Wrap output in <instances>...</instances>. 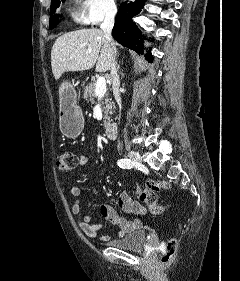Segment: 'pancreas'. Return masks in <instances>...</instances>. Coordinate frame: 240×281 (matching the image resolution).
Instances as JSON below:
<instances>
[{
  "label": "pancreas",
  "mask_w": 240,
  "mask_h": 281,
  "mask_svg": "<svg viewBox=\"0 0 240 281\" xmlns=\"http://www.w3.org/2000/svg\"><path fill=\"white\" fill-rule=\"evenodd\" d=\"M95 83H90L87 85L84 90H83V96L86 100L90 101L91 104L96 103V100L99 99L98 96L95 94ZM101 100V107H102V112L104 114L103 119H104V126H107L110 122V117L109 114H112V108H113V102L112 99L109 98L108 94L104 95V99Z\"/></svg>",
  "instance_id": "pancreas-1"
}]
</instances>
